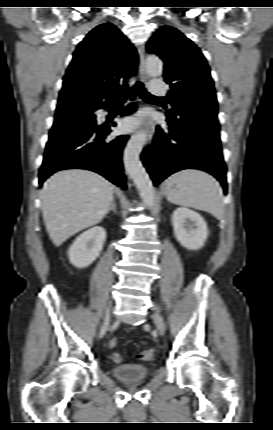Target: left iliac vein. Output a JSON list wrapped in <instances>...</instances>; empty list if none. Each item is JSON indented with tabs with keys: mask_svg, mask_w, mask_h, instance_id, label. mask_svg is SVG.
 I'll use <instances>...</instances> for the list:
<instances>
[{
	"mask_svg": "<svg viewBox=\"0 0 273 430\" xmlns=\"http://www.w3.org/2000/svg\"><path fill=\"white\" fill-rule=\"evenodd\" d=\"M154 322L159 330L164 331L166 329L165 323L158 312L154 315Z\"/></svg>",
	"mask_w": 273,
	"mask_h": 430,
	"instance_id": "left-iliac-vein-1",
	"label": "left iliac vein"
}]
</instances>
